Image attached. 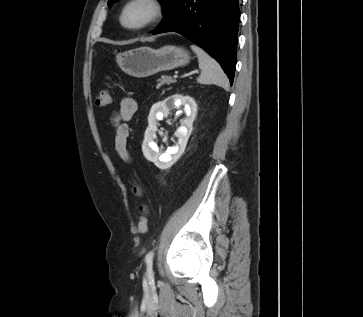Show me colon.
I'll return each instance as SVG.
<instances>
[{
	"instance_id": "5ec220e1",
	"label": "colon",
	"mask_w": 363,
	"mask_h": 317,
	"mask_svg": "<svg viewBox=\"0 0 363 317\" xmlns=\"http://www.w3.org/2000/svg\"><path fill=\"white\" fill-rule=\"evenodd\" d=\"M112 96L107 88L101 89L96 94L95 103L97 106H107L111 103ZM134 193L142 197L144 195V189L141 184L134 182ZM139 211L141 213L138 222V231L145 232L148 224V206L145 203L140 204Z\"/></svg>"
}]
</instances>
